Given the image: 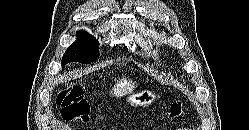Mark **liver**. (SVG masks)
Wrapping results in <instances>:
<instances>
[{
  "label": "liver",
  "mask_w": 249,
  "mask_h": 130,
  "mask_svg": "<svg viewBox=\"0 0 249 130\" xmlns=\"http://www.w3.org/2000/svg\"><path fill=\"white\" fill-rule=\"evenodd\" d=\"M135 87L136 85L132 80L123 78L117 81V84L113 87V91H111L110 94L116 97L124 96L128 93H131Z\"/></svg>",
  "instance_id": "1"
}]
</instances>
